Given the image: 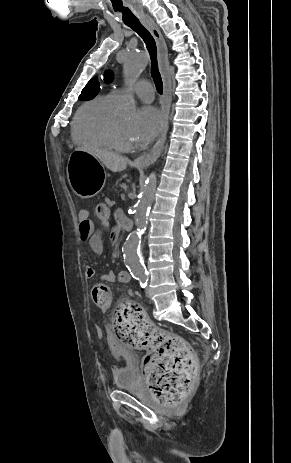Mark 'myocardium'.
Wrapping results in <instances>:
<instances>
[{
    "mask_svg": "<svg viewBox=\"0 0 291 463\" xmlns=\"http://www.w3.org/2000/svg\"><path fill=\"white\" fill-rule=\"evenodd\" d=\"M108 133L110 142L115 149L123 152H128L133 149V145L123 136L116 120L113 119L110 123Z\"/></svg>",
    "mask_w": 291,
    "mask_h": 463,
    "instance_id": "obj_1",
    "label": "myocardium"
}]
</instances>
